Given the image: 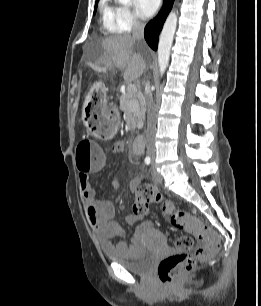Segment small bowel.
I'll list each match as a JSON object with an SVG mask.
<instances>
[{"mask_svg": "<svg viewBox=\"0 0 261 306\" xmlns=\"http://www.w3.org/2000/svg\"><path fill=\"white\" fill-rule=\"evenodd\" d=\"M125 151V144L118 141L112 146L113 155L117 156ZM106 165L104 159L99 165L87 171H81L79 174V186L82 203L86 212L88 222L92 226L98 243L103 251L110 254H126L129 251L128 245L121 240L124 234L121 226L113 220L115 208L110 200H100L90 182V173L102 170ZM141 184L140 178H135L130 182V190L137 196L138 188ZM117 187L118 184L115 183ZM128 224H134L138 221L136 214H129L125 218Z\"/></svg>", "mask_w": 261, "mask_h": 306, "instance_id": "obj_1", "label": "small bowel"}]
</instances>
